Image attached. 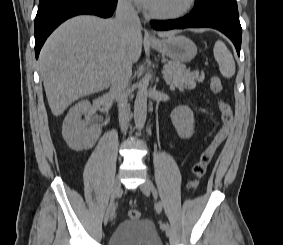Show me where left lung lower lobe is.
Here are the masks:
<instances>
[{"label":"left lung lower lobe","instance_id":"0a47b994","mask_svg":"<svg viewBox=\"0 0 283 245\" xmlns=\"http://www.w3.org/2000/svg\"><path fill=\"white\" fill-rule=\"evenodd\" d=\"M152 27L157 30L183 29L188 27L214 28L231 39L238 55L240 54L242 28L239 18H232L220 14H194L189 13L183 18L166 21H151Z\"/></svg>","mask_w":283,"mask_h":245}]
</instances>
